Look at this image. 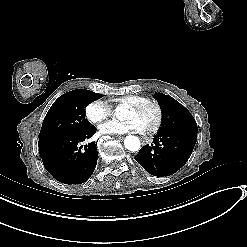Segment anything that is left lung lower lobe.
<instances>
[{
  "label": "left lung lower lobe",
  "mask_w": 247,
  "mask_h": 247,
  "mask_svg": "<svg viewBox=\"0 0 247 247\" xmlns=\"http://www.w3.org/2000/svg\"><path fill=\"white\" fill-rule=\"evenodd\" d=\"M196 140L193 132H158L153 143L142 147L134 159L151 175L169 176L187 162Z\"/></svg>",
  "instance_id": "left-lung-lower-lobe-1"
}]
</instances>
